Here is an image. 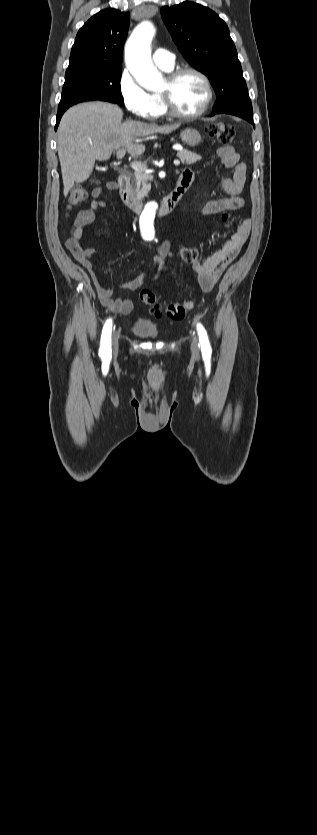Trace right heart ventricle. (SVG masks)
<instances>
[{"mask_svg": "<svg viewBox=\"0 0 317 835\" xmlns=\"http://www.w3.org/2000/svg\"><path fill=\"white\" fill-rule=\"evenodd\" d=\"M166 71H170V70H166ZM152 98H153V100L155 102V105H156V116H162V115L166 114L167 109H166V106L164 104V101H163L160 93L152 94Z\"/></svg>", "mask_w": 317, "mask_h": 835, "instance_id": "e07e8e85", "label": "right heart ventricle"}]
</instances>
